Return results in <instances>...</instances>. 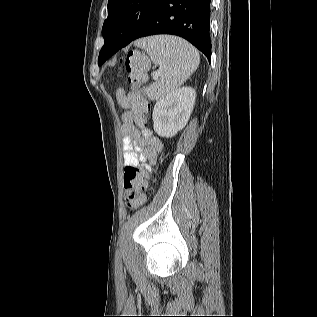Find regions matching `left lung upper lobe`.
<instances>
[{
	"label": "left lung upper lobe",
	"instance_id": "1",
	"mask_svg": "<svg viewBox=\"0 0 317 317\" xmlns=\"http://www.w3.org/2000/svg\"><path fill=\"white\" fill-rule=\"evenodd\" d=\"M163 0H109L108 17L102 34L115 44L130 43ZM106 51L102 47L98 64H103Z\"/></svg>",
	"mask_w": 317,
	"mask_h": 317
}]
</instances>
